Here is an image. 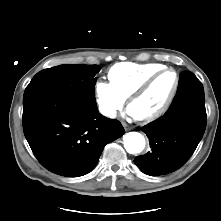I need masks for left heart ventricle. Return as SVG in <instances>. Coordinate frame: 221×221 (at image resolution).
<instances>
[{"label":"left heart ventricle","mask_w":221,"mask_h":221,"mask_svg":"<svg viewBox=\"0 0 221 221\" xmlns=\"http://www.w3.org/2000/svg\"><path fill=\"white\" fill-rule=\"evenodd\" d=\"M175 85L173 72H166L160 76L151 88L139 99L135 100L130 110L135 117L151 115L162 108Z\"/></svg>","instance_id":"left-heart-ventricle-1"}]
</instances>
